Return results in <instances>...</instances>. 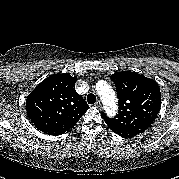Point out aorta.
Returning <instances> with one entry per match:
<instances>
[{
	"mask_svg": "<svg viewBox=\"0 0 179 179\" xmlns=\"http://www.w3.org/2000/svg\"><path fill=\"white\" fill-rule=\"evenodd\" d=\"M97 92L108 115L114 116L117 111V99L114 90L103 80L96 84Z\"/></svg>",
	"mask_w": 179,
	"mask_h": 179,
	"instance_id": "762f6f07",
	"label": "aorta"
}]
</instances>
